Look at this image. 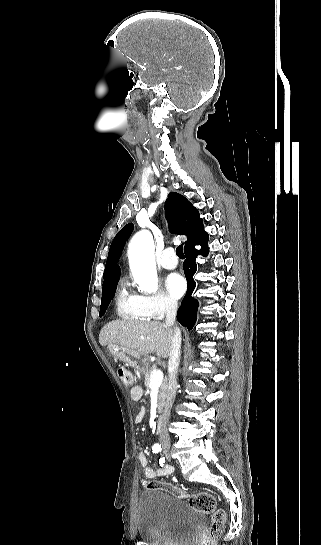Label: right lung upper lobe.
<instances>
[{
  "instance_id": "1",
  "label": "right lung upper lobe",
  "mask_w": 321,
  "mask_h": 545,
  "mask_svg": "<svg viewBox=\"0 0 321 545\" xmlns=\"http://www.w3.org/2000/svg\"><path fill=\"white\" fill-rule=\"evenodd\" d=\"M165 215L170 232L186 235L187 241L204 227L198 210L184 196L176 192H170L168 195L165 203ZM132 230L133 225L127 224L117 233L111 243L104 271L103 289L117 285L120 270L117 261Z\"/></svg>"
}]
</instances>
